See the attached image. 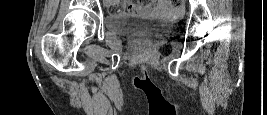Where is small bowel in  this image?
I'll return each mask as SVG.
<instances>
[{"label": "small bowel", "mask_w": 267, "mask_h": 115, "mask_svg": "<svg viewBox=\"0 0 267 115\" xmlns=\"http://www.w3.org/2000/svg\"><path fill=\"white\" fill-rule=\"evenodd\" d=\"M127 8L132 14L167 15L180 11V8L174 7L169 0H158L147 4L135 2L129 4Z\"/></svg>", "instance_id": "small-bowel-1"}]
</instances>
